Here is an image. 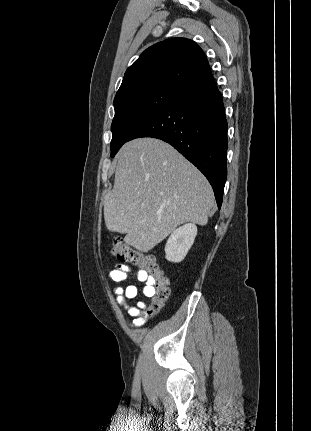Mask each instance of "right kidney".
<instances>
[{
  "label": "right kidney",
  "instance_id": "ca27d5eb",
  "mask_svg": "<svg viewBox=\"0 0 311 431\" xmlns=\"http://www.w3.org/2000/svg\"><path fill=\"white\" fill-rule=\"evenodd\" d=\"M196 235L197 225L195 223H185V225L177 227L167 239L165 245L166 259L168 261H182L193 245Z\"/></svg>",
  "mask_w": 311,
  "mask_h": 431
}]
</instances>
